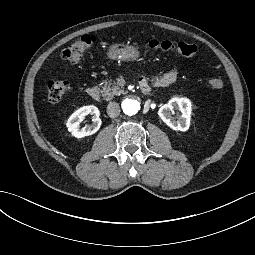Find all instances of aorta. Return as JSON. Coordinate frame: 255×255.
Masks as SVG:
<instances>
[{
    "instance_id": "obj_1",
    "label": "aorta",
    "mask_w": 255,
    "mask_h": 255,
    "mask_svg": "<svg viewBox=\"0 0 255 255\" xmlns=\"http://www.w3.org/2000/svg\"><path fill=\"white\" fill-rule=\"evenodd\" d=\"M123 111L125 114L132 116L140 110V102L133 99H125L123 101Z\"/></svg>"
}]
</instances>
